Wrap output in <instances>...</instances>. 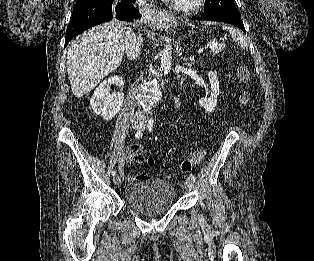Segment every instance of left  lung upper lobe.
Segmentation results:
<instances>
[{"instance_id":"obj_1","label":"left lung upper lobe","mask_w":314,"mask_h":261,"mask_svg":"<svg viewBox=\"0 0 314 261\" xmlns=\"http://www.w3.org/2000/svg\"><path fill=\"white\" fill-rule=\"evenodd\" d=\"M204 15L209 17H240L234 0H205Z\"/></svg>"}]
</instances>
